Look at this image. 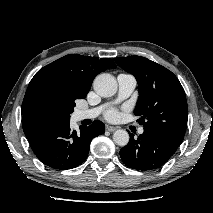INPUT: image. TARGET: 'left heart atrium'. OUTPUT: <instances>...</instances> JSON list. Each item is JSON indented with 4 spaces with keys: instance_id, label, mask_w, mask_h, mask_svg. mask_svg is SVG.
Segmentation results:
<instances>
[{
    "instance_id": "39dd6f15",
    "label": "left heart atrium",
    "mask_w": 213,
    "mask_h": 213,
    "mask_svg": "<svg viewBox=\"0 0 213 213\" xmlns=\"http://www.w3.org/2000/svg\"><path fill=\"white\" fill-rule=\"evenodd\" d=\"M106 118L109 119V120H113L116 118V112L115 111H109L107 114H106Z\"/></svg>"
}]
</instances>
